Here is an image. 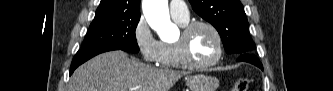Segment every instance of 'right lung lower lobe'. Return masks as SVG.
<instances>
[{"label":"right lung lower lobe","instance_id":"98d812e1","mask_svg":"<svg viewBox=\"0 0 333 91\" xmlns=\"http://www.w3.org/2000/svg\"><path fill=\"white\" fill-rule=\"evenodd\" d=\"M118 50V49H95V50H80L76 53L70 68V75L73 71L82 63L87 61L88 59L107 51Z\"/></svg>","mask_w":333,"mask_h":91}]
</instances>
